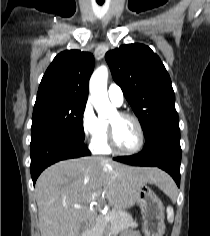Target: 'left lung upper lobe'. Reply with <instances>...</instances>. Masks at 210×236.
<instances>
[{
    "label": "left lung upper lobe",
    "mask_w": 210,
    "mask_h": 236,
    "mask_svg": "<svg viewBox=\"0 0 210 236\" xmlns=\"http://www.w3.org/2000/svg\"><path fill=\"white\" fill-rule=\"evenodd\" d=\"M105 58L145 137L162 125L179 124L170 76L148 46L122 45L107 52Z\"/></svg>",
    "instance_id": "1"
}]
</instances>
